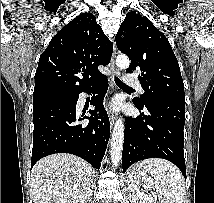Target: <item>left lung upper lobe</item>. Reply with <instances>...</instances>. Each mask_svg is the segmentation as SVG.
<instances>
[{
  "label": "left lung upper lobe",
  "mask_w": 214,
  "mask_h": 203,
  "mask_svg": "<svg viewBox=\"0 0 214 203\" xmlns=\"http://www.w3.org/2000/svg\"><path fill=\"white\" fill-rule=\"evenodd\" d=\"M117 48L131 59L128 73L137 72L144 89L135 105L154 101L185 104L184 83L168 39L140 13L126 15L116 35Z\"/></svg>",
  "instance_id": "obj_1"
}]
</instances>
